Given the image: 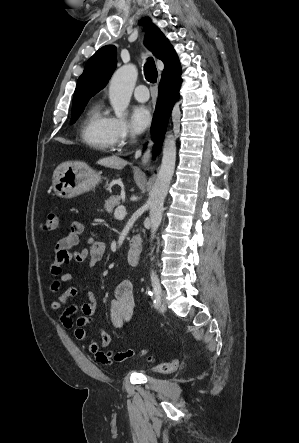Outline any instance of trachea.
Returning a JSON list of instances; mask_svg holds the SVG:
<instances>
[{
	"instance_id": "obj_1",
	"label": "trachea",
	"mask_w": 299,
	"mask_h": 443,
	"mask_svg": "<svg viewBox=\"0 0 299 443\" xmlns=\"http://www.w3.org/2000/svg\"><path fill=\"white\" fill-rule=\"evenodd\" d=\"M144 75L146 80L151 83H155L157 81V69L152 57H149L144 65Z\"/></svg>"
}]
</instances>
